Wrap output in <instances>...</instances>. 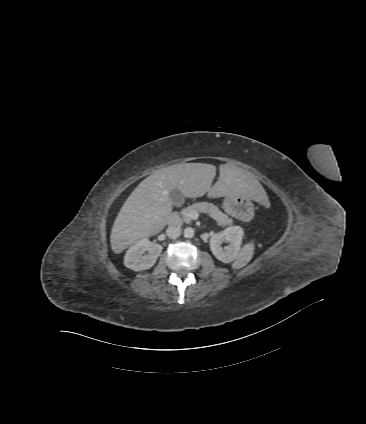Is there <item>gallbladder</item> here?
<instances>
[{
	"mask_svg": "<svg viewBox=\"0 0 366 424\" xmlns=\"http://www.w3.org/2000/svg\"><path fill=\"white\" fill-rule=\"evenodd\" d=\"M170 198L172 200V203L177 206L181 203L182 200V194L178 189H174L170 192Z\"/></svg>",
	"mask_w": 366,
	"mask_h": 424,
	"instance_id": "obj_1",
	"label": "gallbladder"
}]
</instances>
